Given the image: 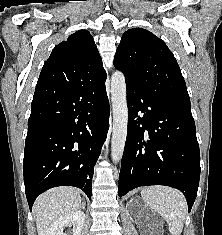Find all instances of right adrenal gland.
Listing matches in <instances>:
<instances>
[{
  "instance_id": "obj_1",
  "label": "right adrenal gland",
  "mask_w": 222,
  "mask_h": 235,
  "mask_svg": "<svg viewBox=\"0 0 222 235\" xmlns=\"http://www.w3.org/2000/svg\"><path fill=\"white\" fill-rule=\"evenodd\" d=\"M81 208L85 209V202L84 201L81 204Z\"/></svg>"
}]
</instances>
